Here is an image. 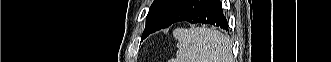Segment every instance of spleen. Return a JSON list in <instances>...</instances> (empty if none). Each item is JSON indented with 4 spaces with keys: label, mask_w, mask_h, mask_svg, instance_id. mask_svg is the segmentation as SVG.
<instances>
[{
    "label": "spleen",
    "mask_w": 331,
    "mask_h": 62,
    "mask_svg": "<svg viewBox=\"0 0 331 62\" xmlns=\"http://www.w3.org/2000/svg\"><path fill=\"white\" fill-rule=\"evenodd\" d=\"M178 41L172 62H233L229 37L204 27L179 28L173 31Z\"/></svg>",
    "instance_id": "spleen-1"
}]
</instances>
